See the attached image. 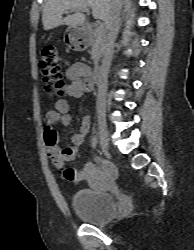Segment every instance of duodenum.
<instances>
[{
	"label": "duodenum",
	"mask_w": 194,
	"mask_h": 250,
	"mask_svg": "<svg viewBox=\"0 0 194 250\" xmlns=\"http://www.w3.org/2000/svg\"><path fill=\"white\" fill-rule=\"evenodd\" d=\"M101 76V66L99 64L94 65L92 69V82L98 83Z\"/></svg>",
	"instance_id": "obj_1"
}]
</instances>
